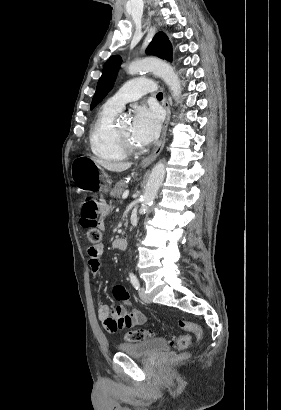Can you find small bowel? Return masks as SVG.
I'll return each mask as SVG.
<instances>
[{
	"mask_svg": "<svg viewBox=\"0 0 281 410\" xmlns=\"http://www.w3.org/2000/svg\"><path fill=\"white\" fill-rule=\"evenodd\" d=\"M110 209V206L102 204V217L99 221V227L102 229L104 228V222ZM103 251V243L93 245L88 249V261L92 274L96 278V286L100 285L97 275L100 269L99 259L102 256ZM112 294L113 297L121 303L115 308H110L107 305H101L98 308V318L108 332L115 333L126 327L142 325L146 322V316L142 312L130 308V294L126 287L117 284L112 288Z\"/></svg>",
	"mask_w": 281,
	"mask_h": 410,
	"instance_id": "obj_1",
	"label": "small bowel"
}]
</instances>
